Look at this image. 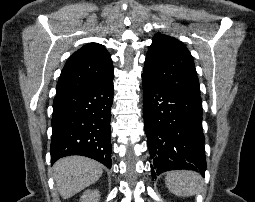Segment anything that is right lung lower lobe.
I'll return each instance as SVG.
<instances>
[{"label":"right lung lower lobe","mask_w":255,"mask_h":202,"mask_svg":"<svg viewBox=\"0 0 255 202\" xmlns=\"http://www.w3.org/2000/svg\"><path fill=\"white\" fill-rule=\"evenodd\" d=\"M113 79L103 85L56 94L53 102L51 162L69 155L93 158L111 168Z\"/></svg>","instance_id":"right-lung-lower-lobe-1"}]
</instances>
